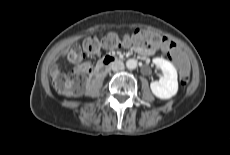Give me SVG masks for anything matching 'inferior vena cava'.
I'll return each mask as SVG.
<instances>
[{
	"instance_id": "inferior-vena-cava-1",
	"label": "inferior vena cava",
	"mask_w": 230,
	"mask_h": 155,
	"mask_svg": "<svg viewBox=\"0 0 230 155\" xmlns=\"http://www.w3.org/2000/svg\"><path fill=\"white\" fill-rule=\"evenodd\" d=\"M124 68V65L121 61H114L111 63L110 65V69H112L113 71H119L122 70Z\"/></svg>"
}]
</instances>
